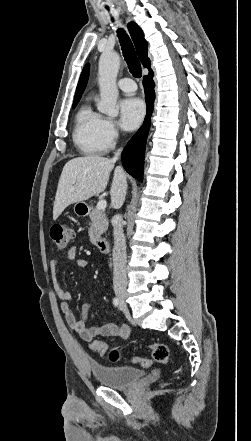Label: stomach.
<instances>
[{"label":"stomach","instance_id":"obj_1","mask_svg":"<svg viewBox=\"0 0 251 441\" xmlns=\"http://www.w3.org/2000/svg\"><path fill=\"white\" fill-rule=\"evenodd\" d=\"M86 204L84 202H77L74 205V211L77 215H82L83 211L86 209Z\"/></svg>","mask_w":251,"mask_h":441}]
</instances>
